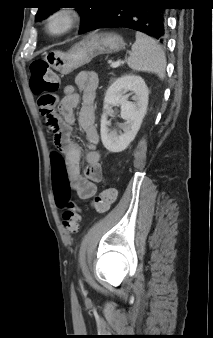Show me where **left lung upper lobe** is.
<instances>
[{
    "instance_id": "5c2ea615",
    "label": "left lung upper lobe",
    "mask_w": 213,
    "mask_h": 338,
    "mask_svg": "<svg viewBox=\"0 0 213 338\" xmlns=\"http://www.w3.org/2000/svg\"><path fill=\"white\" fill-rule=\"evenodd\" d=\"M104 0H80L78 2L88 4L86 6L78 7L81 17H82V23L80 32L83 31L86 26L90 23V21L96 16V14L99 12L101 5ZM41 6L39 7V10L36 14V19L41 20L48 16L52 11L56 10L57 8L51 7L48 2V0H42Z\"/></svg>"
}]
</instances>
